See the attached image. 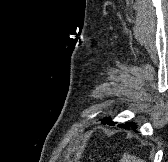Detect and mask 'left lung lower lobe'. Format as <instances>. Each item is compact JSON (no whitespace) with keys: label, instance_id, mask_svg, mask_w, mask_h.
Returning <instances> with one entry per match:
<instances>
[{"label":"left lung lower lobe","instance_id":"obj_1","mask_svg":"<svg viewBox=\"0 0 168 162\" xmlns=\"http://www.w3.org/2000/svg\"><path fill=\"white\" fill-rule=\"evenodd\" d=\"M103 124H108V125H114L115 122H112L110 120V118H105L102 120ZM121 128H125V129H130L133 128L135 131L137 129V125L135 123H126V124H120L119 125Z\"/></svg>","mask_w":168,"mask_h":162}]
</instances>
